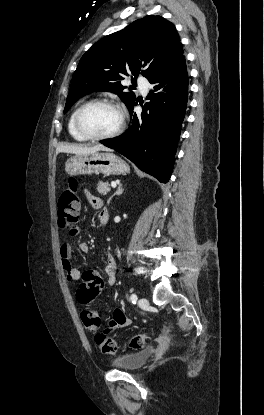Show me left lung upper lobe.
<instances>
[{"instance_id": "left-lung-upper-lobe-1", "label": "left lung upper lobe", "mask_w": 264, "mask_h": 415, "mask_svg": "<svg viewBox=\"0 0 264 415\" xmlns=\"http://www.w3.org/2000/svg\"><path fill=\"white\" fill-rule=\"evenodd\" d=\"M183 56L175 26L161 16H147L95 43L75 70L64 113L79 98L94 91L120 96L127 108L135 103L133 92H123L120 80L131 71L148 80ZM134 80V79H133Z\"/></svg>"}]
</instances>
